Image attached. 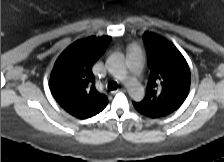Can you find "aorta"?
<instances>
[{
  "label": "aorta",
  "mask_w": 224,
  "mask_h": 162,
  "mask_svg": "<svg viewBox=\"0 0 224 162\" xmlns=\"http://www.w3.org/2000/svg\"><path fill=\"white\" fill-rule=\"evenodd\" d=\"M107 69L111 75L124 82L130 97L134 101L143 100L145 90L137 79L128 75L125 61L121 54L115 53L108 58Z\"/></svg>",
  "instance_id": "aorta-1"
}]
</instances>
